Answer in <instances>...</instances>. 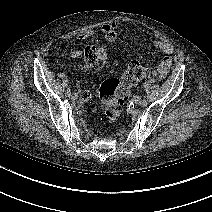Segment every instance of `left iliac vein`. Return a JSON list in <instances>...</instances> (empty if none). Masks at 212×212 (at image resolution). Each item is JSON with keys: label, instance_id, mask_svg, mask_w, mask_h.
Listing matches in <instances>:
<instances>
[{"label": "left iliac vein", "instance_id": "left-iliac-vein-1", "mask_svg": "<svg viewBox=\"0 0 212 212\" xmlns=\"http://www.w3.org/2000/svg\"><path fill=\"white\" fill-rule=\"evenodd\" d=\"M141 103H142V99L139 98V97H137V98L135 99V104H136L137 106H141Z\"/></svg>", "mask_w": 212, "mask_h": 212}]
</instances>
